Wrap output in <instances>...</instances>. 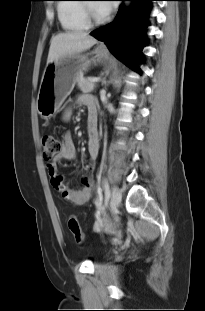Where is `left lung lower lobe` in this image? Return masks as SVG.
Here are the masks:
<instances>
[{"mask_svg": "<svg viewBox=\"0 0 205 311\" xmlns=\"http://www.w3.org/2000/svg\"><path fill=\"white\" fill-rule=\"evenodd\" d=\"M132 1L129 20L125 32H121L122 9L110 24L94 30L91 34L100 41H105L108 49L126 65L138 71L135 61L140 58L138 47L144 39L149 2L153 0H122ZM138 54V55H137ZM139 72V71H138Z\"/></svg>", "mask_w": 205, "mask_h": 311, "instance_id": "0a47b994", "label": "left lung lower lobe"}]
</instances>
